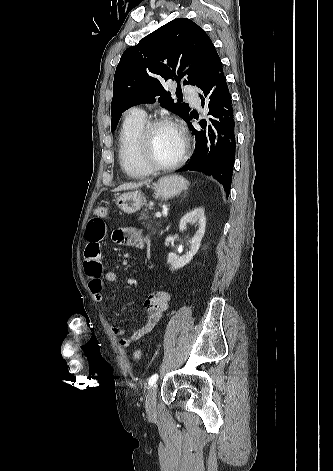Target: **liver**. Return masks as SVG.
<instances>
[{
  "mask_svg": "<svg viewBox=\"0 0 333 471\" xmlns=\"http://www.w3.org/2000/svg\"><path fill=\"white\" fill-rule=\"evenodd\" d=\"M150 183V180L145 181V182H139V183H125L120 185L115 189V191H123V190H132V189H137L139 187H142L145 184Z\"/></svg>",
  "mask_w": 333,
  "mask_h": 471,
  "instance_id": "liver-1",
  "label": "liver"
}]
</instances>
